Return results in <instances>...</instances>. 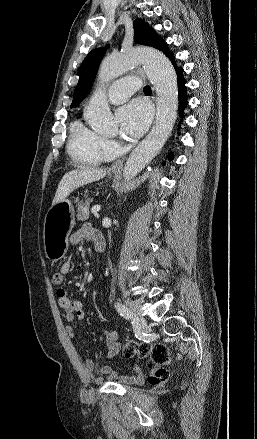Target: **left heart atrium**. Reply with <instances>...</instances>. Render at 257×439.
<instances>
[{
  "label": "left heart atrium",
  "mask_w": 257,
  "mask_h": 439,
  "mask_svg": "<svg viewBox=\"0 0 257 439\" xmlns=\"http://www.w3.org/2000/svg\"><path fill=\"white\" fill-rule=\"evenodd\" d=\"M151 109L142 100H134L120 108L117 117L122 137L134 139L141 136L151 120Z\"/></svg>",
  "instance_id": "obj_1"
}]
</instances>
